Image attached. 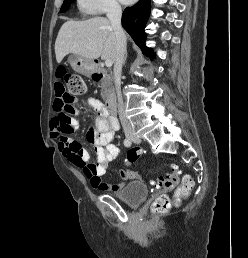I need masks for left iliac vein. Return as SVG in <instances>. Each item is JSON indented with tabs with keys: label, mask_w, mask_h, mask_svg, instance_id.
Masks as SVG:
<instances>
[{
	"label": "left iliac vein",
	"mask_w": 248,
	"mask_h": 258,
	"mask_svg": "<svg viewBox=\"0 0 248 258\" xmlns=\"http://www.w3.org/2000/svg\"><path fill=\"white\" fill-rule=\"evenodd\" d=\"M131 140L134 142V143H140L141 142V138L139 136H134L131 138Z\"/></svg>",
	"instance_id": "4c4485c4"
}]
</instances>
